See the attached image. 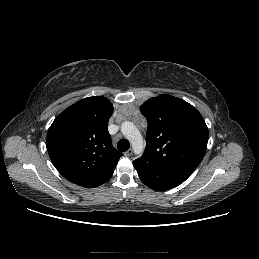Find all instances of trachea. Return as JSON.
Returning <instances> with one entry per match:
<instances>
[{"label": "trachea", "instance_id": "1", "mask_svg": "<svg viewBox=\"0 0 259 259\" xmlns=\"http://www.w3.org/2000/svg\"><path fill=\"white\" fill-rule=\"evenodd\" d=\"M129 147H130V144L126 139H121L118 141L117 148L120 151L125 152L129 149Z\"/></svg>", "mask_w": 259, "mask_h": 259}]
</instances>
